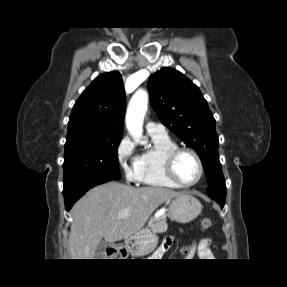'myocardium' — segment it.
<instances>
[{"label": "myocardium", "mask_w": 287, "mask_h": 287, "mask_svg": "<svg viewBox=\"0 0 287 287\" xmlns=\"http://www.w3.org/2000/svg\"><path fill=\"white\" fill-rule=\"evenodd\" d=\"M182 153H188L190 155H192L195 160L197 161V164L199 166V176L198 178L190 183V184H184L182 183L179 178L177 177L176 171H175V162L178 158V156ZM164 167H165V171L167 176L173 181L175 182L178 187L180 188H191L196 186L202 179L203 175H204V165L202 162L201 157L199 156V154L191 149V148H187V147H176L172 150H170L169 152L166 153L165 158H164Z\"/></svg>", "instance_id": "myocardium-1"}]
</instances>
